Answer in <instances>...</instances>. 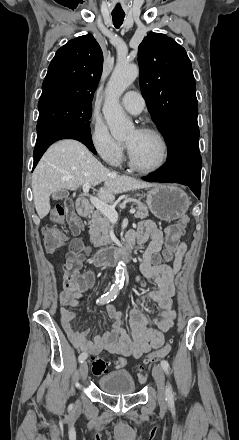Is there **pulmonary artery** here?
<instances>
[{"mask_svg":"<svg viewBox=\"0 0 239 440\" xmlns=\"http://www.w3.org/2000/svg\"><path fill=\"white\" fill-rule=\"evenodd\" d=\"M122 105L127 111L138 114L143 110L145 101L137 91H128L122 98Z\"/></svg>","mask_w":239,"mask_h":440,"instance_id":"pulmonary-artery-1","label":"pulmonary artery"}]
</instances>
